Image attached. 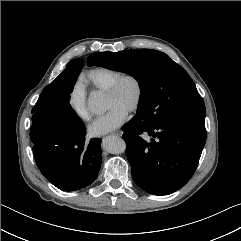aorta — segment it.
<instances>
[{"instance_id":"aorta-1","label":"aorta","mask_w":241,"mask_h":241,"mask_svg":"<svg viewBox=\"0 0 241 241\" xmlns=\"http://www.w3.org/2000/svg\"><path fill=\"white\" fill-rule=\"evenodd\" d=\"M90 110L95 114H101L105 109V102L99 93H92L88 102ZM103 148L112 154H121L126 150V143L122 138L108 136L103 140Z\"/></svg>"}]
</instances>
